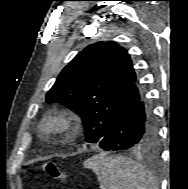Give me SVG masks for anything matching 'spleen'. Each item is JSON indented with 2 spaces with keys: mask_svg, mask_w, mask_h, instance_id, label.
I'll return each mask as SVG.
<instances>
[{
  "mask_svg": "<svg viewBox=\"0 0 188 189\" xmlns=\"http://www.w3.org/2000/svg\"><path fill=\"white\" fill-rule=\"evenodd\" d=\"M84 167L97 175L101 189H157L155 178L141 164L123 156L94 155Z\"/></svg>",
  "mask_w": 188,
  "mask_h": 189,
  "instance_id": "1",
  "label": "spleen"
}]
</instances>
